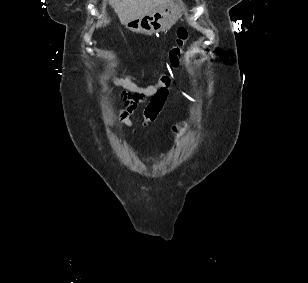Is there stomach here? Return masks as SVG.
Returning <instances> with one entry per match:
<instances>
[{
    "mask_svg": "<svg viewBox=\"0 0 308 283\" xmlns=\"http://www.w3.org/2000/svg\"><path fill=\"white\" fill-rule=\"evenodd\" d=\"M181 5L172 2L152 12L135 18L126 24L128 30L137 34L152 35L169 30L181 17Z\"/></svg>",
    "mask_w": 308,
    "mask_h": 283,
    "instance_id": "obj_1",
    "label": "stomach"
}]
</instances>
